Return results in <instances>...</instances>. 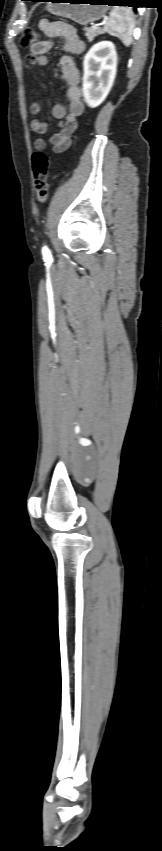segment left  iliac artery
<instances>
[{
    "label": "left iliac artery",
    "mask_w": 162,
    "mask_h": 851,
    "mask_svg": "<svg viewBox=\"0 0 162 851\" xmlns=\"http://www.w3.org/2000/svg\"><path fill=\"white\" fill-rule=\"evenodd\" d=\"M42 254H43L44 258H50L51 257V253L46 246L43 247Z\"/></svg>",
    "instance_id": "44dca946"
}]
</instances>
